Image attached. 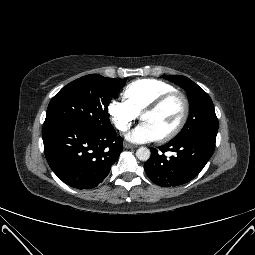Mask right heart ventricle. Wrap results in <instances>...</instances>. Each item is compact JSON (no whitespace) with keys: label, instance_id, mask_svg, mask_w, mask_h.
<instances>
[{"label":"right heart ventricle","instance_id":"obj_1","mask_svg":"<svg viewBox=\"0 0 255 255\" xmlns=\"http://www.w3.org/2000/svg\"><path fill=\"white\" fill-rule=\"evenodd\" d=\"M175 90L171 84L157 79H141L129 84L123 91L125 102L140 114L143 109L160 95Z\"/></svg>","mask_w":255,"mask_h":255}]
</instances>
